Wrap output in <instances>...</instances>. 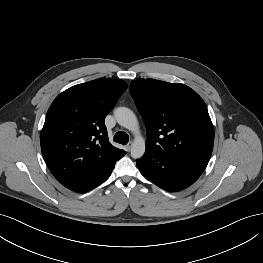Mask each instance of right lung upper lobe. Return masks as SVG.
I'll use <instances>...</instances> for the list:
<instances>
[{
    "mask_svg": "<svg viewBox=\"0 0 263 263\" xmlns=\"http://www.w3.org/2000/svg\"><path fill=\"white\" fill-rule=\"evenodd\" d=\"M126 89L120 79L92 80L70 87L51 104L40 134L41 150L65 187L93 178L126 154L110 144L104 124Z\"/></svg>",
    "mask_w": 263,
    "mask_h": 263,
    "instance_id": "1",
    "label": "right lung upper lobe"
}]
</instances>
